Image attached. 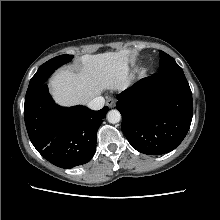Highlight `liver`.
Returning <instances> with one entry per match:
<instances>
[{
    "mask_svg": "<svg viewBox=\"0 0 220 220\" xmlns=\"http://www.w3.org/2000/svg\"><path fill=\"white\" fill-rule=\"evenodd\" d=\"M130 50L80 57L79 72L60 70L50 80V92L61 106L86 105L106 90L122 91L131 78Z\"/></svg>",
    "mask_w": 220,
    "mask_h": 220,
    "instance_id": "liver-1",
    "label": "liver"
}]
</instances>
